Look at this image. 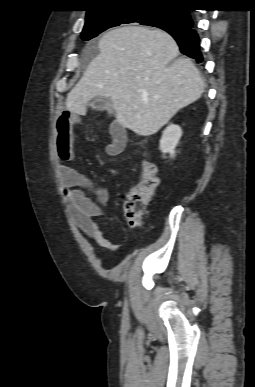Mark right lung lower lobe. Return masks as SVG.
Returning <instances> with one entry per match:
<instances>
[{"label":"right lung lower lobe","instance_id":"obj_1","mask_svg":"<svg viewBox=\"0 0 255 387\" xmlns=\"http://www.w3.org/2000/svg\"><path fill=\"white\" fill-rule=\"evenodd\" d=\"M183 13L190 16L188 10L184 11ZM161 29L168 32L177 41L180 47V51L183 54L195 59L198 63L202 62L203 56L200 51V40L195 30L194 23L189 26L169 27Z\"/></svg>","mask_w":255,"mask_h":387}]
</instances>
